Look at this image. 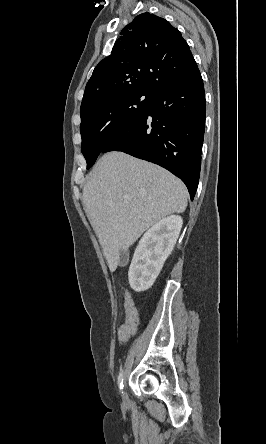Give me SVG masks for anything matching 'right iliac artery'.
<instances>
[{"mask_svg": "<svg viewBox=\"0 0 266 444\" xmlns=\"http://www.w3.org/2000/svg\"><path fill=\"white\" fill-rule=\"evenodd\" d=\"M118 386H119L120 390L123 389V371H121L118 376Z\"/></svg>", "mask_w": 266, "mask_h": 444, "instance_id": "obj_1", "label": "right iliac artery"}]
</instances>
